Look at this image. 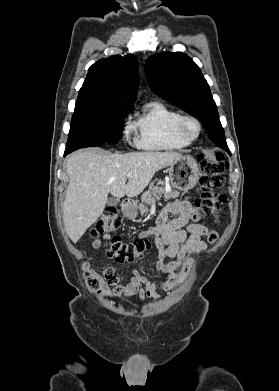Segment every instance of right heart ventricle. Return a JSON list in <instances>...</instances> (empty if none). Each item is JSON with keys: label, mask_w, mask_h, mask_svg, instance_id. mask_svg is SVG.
<instances>
[{"label": "right heart ventricle", "mask_w": 279, "mask_h": 391, "mask_svg": "<svg viewBox=\"0 0 279 391\" xmlns=\"http://www.w3.org/2000/svg\"><path fill=\"white\" fill-rule=\"evenodd\" d=\"M180 115L177 110L162 102L147 103L133 125L137 146L150 151L181 150L187 147L189 144L175 132Z\"/></svg>", "instance_id": "obj_1"}]
</instances>
